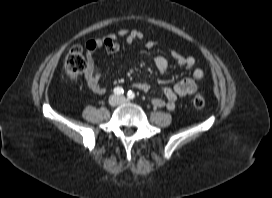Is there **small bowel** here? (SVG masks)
Here are the masks:
<instances>
[{"label":"small bowel","instance_id":"c3829d8e","mask_svg":"<svg viewBox=\"0 0 272 198\" xmlns=\"http://www.w3.org/2000/svg\"><path fill=\"white\" fill-rule=\"evenodd\" d=\"M144 35L139 30L120 29L116 33L107 34L103 37L90 39L86 42V59L87 69L85 72V79L90 90L102 95L106 92V88L100 83V70L96 63V51L100 48H106L108 53L115 54L118 51V38H125L127 42L132 43L143 39ZM146 48L154 49L156 43L147 41ZM170 56L181 67H185L192 71L190 77L184 78L176 83L173 87H164L162 93L165 99L154 98L152 104L158 108H166L169 111L175 109L176 101L179 97H184L194 94L199 82L202 80L204 73L200 68L195 67V58L192 56H184L177 51H171ZM154 64L160 72H165L169 67L168 59L163 55H158L154 58ZM133 87L147 92L150 86L144 82H135Z\"/></svg>","mask_w":272,"mask_h":198}]
</instances>
